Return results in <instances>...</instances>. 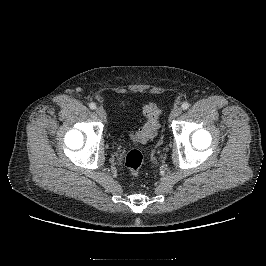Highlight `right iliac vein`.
Masks as SVG:
<instances>
[{
  "label": "right iliac vein",
  "instance_id": "1",
  "mask_svg": "<svg viewBox=\"0 0 266 266\" xmlns=\"http://www.w3.org/2000/svg\"><path fill=\"white\" fill-rule=\"evenodd\" d=\"M96 113L102 120L106 119V112L102 107L96 108Z\"/></svg>",
  "mask_w": 266,
  "mask_h": 266
}]
</instances>
